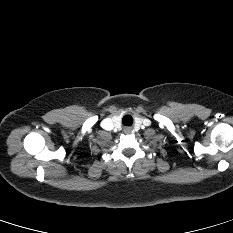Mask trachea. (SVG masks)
<instances>
[{"label": "trachea", "mask_w": 233, "mask_h": 233, "mask_svg": "<svg viewBox=\"0 0 233 233\" xmlns=\"http://www.w3.org/2000/svg\"><path fill=\"white\" fill-rule=\"evenodd\" d=\"M127 119H128V121L130 122V124H132L133 119H132V117H131L130 115H126V116L123 117V124L126 123V120H127ZM125 125H126V124H125Z\"/></svg>", "instance_id": "obj_1"}]
</instances>
